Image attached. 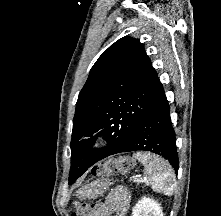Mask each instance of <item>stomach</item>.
I'll use <instances>...</instances> for the list:
<instances>
[{"instance_id": "stomach-1", "label": "stomach", "mask_w": 221, "mask_h": 216, "mask_svg": "<svg viewBox=\"0 0 221 216\" xmlns=\"http://www.w3.org/2000/svg\"><path fill=\"white\" fill-rule=\"evenodd\" d=\"M109 181L107 180H96L93 181L80 189L77 192V196L82 199H95L109 188Z\"/></svg>"}]
</instances>
